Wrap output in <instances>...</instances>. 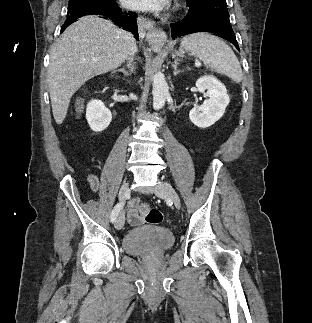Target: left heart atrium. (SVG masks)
Instances as JSON below:
<instances>
[{
  "instance_id": "39dd6f15",
  "label": "left heart atrium",
  "mask_w": 312,
  "mask_h": 323,
  "mask_svg": "<svg viewBox=\"0 0 312 323\" xmlns=\"http://www.w3.org/2000/svg\"><path fill=\"white\" fill-rule=\"evenodd\" d=\"M129 8L136 12H167L172 7L170 0H125Z\"/></svg>"
}]
</instances>
